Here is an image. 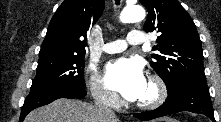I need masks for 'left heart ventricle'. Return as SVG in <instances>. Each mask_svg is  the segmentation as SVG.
Listing matches in <instances>:
<instances>
[{"label":"left heart ventricle","mask_w":221,"mask_h":122,"mask_svg":"<svg viewBox=\"0 0 221 122\" xmlns=\"http://www.w3.org/2000/svg\"><path fill=\"white\" fill-rule=\"evenodd\" d=\"M153 90L149 83H147V87L143 93V95L140 97L139 101L146 100L152 96Z\"/></svg>","instance_id":"1"}]
</instances>
